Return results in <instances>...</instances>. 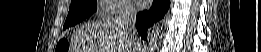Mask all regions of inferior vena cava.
Instances as JSON below:
<instances>
[{"label": "inferior vena cava", "mask_w": 261, "mask_h": 52, "mask_svg": "<svg viewBox=\"0 0 261 52\" xmlns=\"http://www.w3.org/2000/svg\"><path fill=\"white\" fill-rule=\"evenodd\" d=\"M137 9L130 2H123L120 8V14L117 17V23L127 36L132 39V46L135 48V41L132 37V31L135 29ZM134 51V50H133Z\"/></svg>", "instance_id": "1"}]
</instances>
